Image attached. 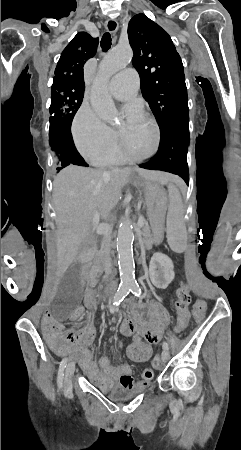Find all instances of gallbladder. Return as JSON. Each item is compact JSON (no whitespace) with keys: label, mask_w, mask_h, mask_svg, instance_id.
Wrapping results in <instances>:
<instances>
[{"label":"gallbladder","mask_w":241,"mask_h":450,"mask_svg":"<svg viewBox=\"0 0 241 450\" xmlns=\"http://www.w3.org/2000/svg\"><path fill=\"white\" fill-rule=\"evenodd\" d=\"M82 266L83 264H74L68 268L59 283V291H57L54 301L49 303L56 323H65L69 319V315H74V310H79L83 293L80 282Z\"/></svg>","instance_id":"obj_1"}]
</instances>
